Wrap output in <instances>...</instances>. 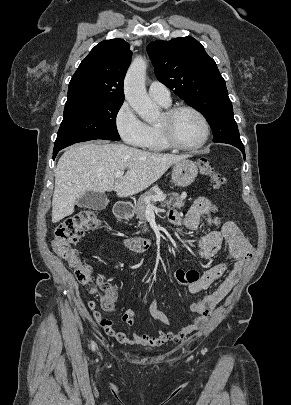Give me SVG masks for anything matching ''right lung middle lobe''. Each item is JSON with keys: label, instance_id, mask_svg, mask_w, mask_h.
I'll use <instances>...</instances> for the list:
<instances>
[{"label": "right lung middle lobe", "instance_id": "1", "mask_svg": "<svg viewBox=\"0 0 291 405\" xmlns=\"http://www.w3.org/2000/svg\"><path fill=\"white\" fill-rule=\"evenodd\" d=\"M122 101H79L65 104L53 157L74 143L94 139L120 140L116 115Z\"/></svg>", "mask_w": 291, "mask_h": 405}]
</instances>
